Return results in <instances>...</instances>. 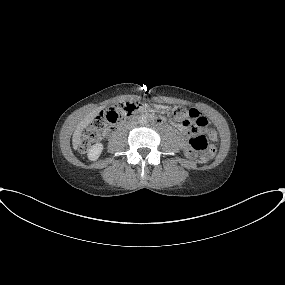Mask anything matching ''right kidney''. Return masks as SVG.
Instances as JSON below:
<instances>
[{
    "label": "right kidney",
    "mask_w": 285,
    "mask_h": 285,
    "mask_svg": "<svg viewBox=\"0 0 285 285\" xmlns=\"http://www.w3.org/2000/svg\"><path fill=\"white\" fill-rule=\"evenodd\" d=\"M103 150V144L102 143H96L94 144L88 152V158L92 161H95L99 158L100 154Z\"/></svg>",
    "instance_id": "obj_1"
}]
</instances>
